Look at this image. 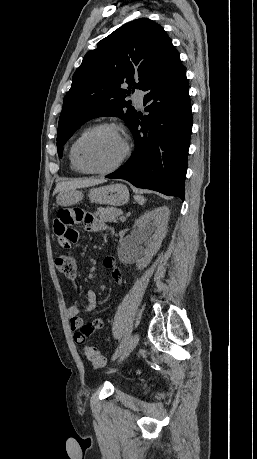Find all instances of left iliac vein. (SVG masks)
Listing matches in <instances>:
<instances>
[{
    "instance_id": "1",
    "label": "left iliac vein",
    "mask_w": 257,
    "mask_h": 459,
    "mask_svg": "<svg viewBox=\"0 0 257 459\" xmlns=\"http://www.w3.org/2000/svg\"><path fill=\"white\" fill-rule=\"evenodd\" d=\"M138 342L139 336L137 334H134L130 339H128L119 362L123 361L133 351V349L138 345Z\"/></svg>"
}]
</instances>
